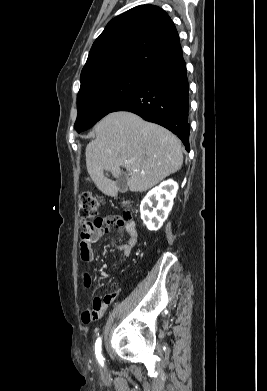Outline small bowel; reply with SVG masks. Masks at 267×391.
I'll use <instances>...</instances> for the list:
<instances>
[{"label":"small bowel","mask_w":267,"mask_h":391,"mask_svg":"<svg viewBox=\"0 0 267 391\" xmlns=\"http://www.w3.org/2000/svg\"><path fill=\"white\" fill-rule=\"evenodd\" d=\"M114 229L125 230L127 241L124 244H117L116 248L123 252L125 258L129 257L132 249L135 247L138 241V231L136 224L134 221H127L121 224L118 222L117 217L108 215L101 217V220L97 223H89L86 225V229L82 233L81 237H86L88 240V250L84 251L82 248H80L82 260L86 262L91 261L93 258L92 245L104 234ZM85 284L87 286L90 284V279L88 276L85 277ZM117 294L118 291H114L112 293L106 294L103 298L95 297L92 308L87 309L82 313V321L84 323H89L99 319L104 314L111 301L117 296Z\"/></svg>","instance_id":"1"}]
</instances>
